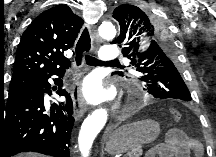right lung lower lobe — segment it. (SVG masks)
Listing matches in <instances>:
<instances>
[{
    "instance_id": "1",
    "label": "right lung lower lobe",
    "mask_w": 216,
    "mask_h": 157,
    "mask_svg": "<svg viewBox=\"0 0 216 157\" xmlns=\"http://www.w3.org/2000/svg\"><path fill=\"white\" fill-rule=\"evenodd\" d=\"M68 66L45 78L9 92L7 102L0 107V157H11L32 151L54 157H70V136L74 124L70 95L62 89L58 94L67 98L63 107L55 104L51 115L45 114V93L51 94L48 79L61 85Z\"/></svg>"
}]
</instances>
